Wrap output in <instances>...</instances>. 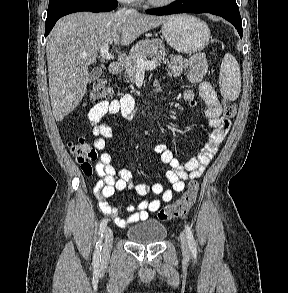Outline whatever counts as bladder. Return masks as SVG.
I'll return each mask as SVG.
<instances>
[{"mask_svg": "<svg viewBox=\"0 0 288 293\" xmlns=\"http://www.w3.org/2000/svg\"><path fill=\"white\" fill-rule=\"evenodd\" d=\"M166 235V227L154 219L133 225L126 232L128 240L145 245L159 243L164 240Z\"/></svg>", "mask_w": 288, "mask_h": 293, "instance_id": "31cf9c89", "label": "bladder"}]
</instances>
